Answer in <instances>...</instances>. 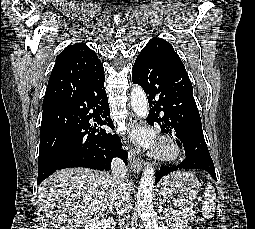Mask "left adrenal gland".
I'll use <instances>...</instances> for the list:
<instances>
[{"instance_id": "left-adrenal-gland-1", "label": "left adrenal gland", "mask_w": 255, "mask_h": 229, "mask_svg": "<svg viewBox=\"0 0 255 229\" xmlns=\"http://www.w3.org/2000/svg\"><path fill=\"white\" fill-rule=\"evenodd\" d=\"M162 211V203H160V206H159V212Z\"/></svg>"}]
</instances>
